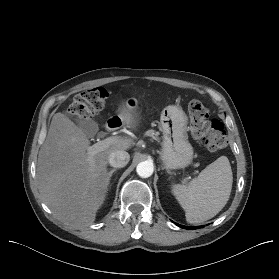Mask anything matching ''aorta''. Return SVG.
<instances>
[{
  "mask_svg": "<svg viewBox=\"0 0 279 279\" xmlns=\"http://www.w3.org/2000/svg\"><path fill=\"white\" fill-rule=\"evenodd\" d=\"M154 166L150 161L140 162L136 167L137 174L142 178H148L153 174Z\"/></svg>",
  "mask_w": 279,
  "mask_h": 279,
  "instance_id": "762f6f07",
  "label": "aorta"
}]
</instances>
